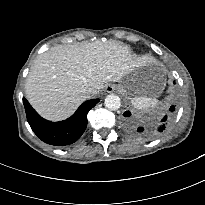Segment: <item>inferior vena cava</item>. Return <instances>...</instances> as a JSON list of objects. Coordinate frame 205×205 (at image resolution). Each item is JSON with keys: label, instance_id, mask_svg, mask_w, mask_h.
<instances>
[{"label": "inferior vena cava", "instance_id": "obj_1", "mask_svg": "<svg viewBox=\"0 0 205 205\" xmlns=\"http://www.w3.org/2000/svg\"><path fill=\"white\" fill-rule=\"evenodd\" d=\"M88 92H89V93H91V92H92V90L89 88V89H88Z\"/></svg>", "mask_w": 205, "mask_h": 205}]
</instances>
